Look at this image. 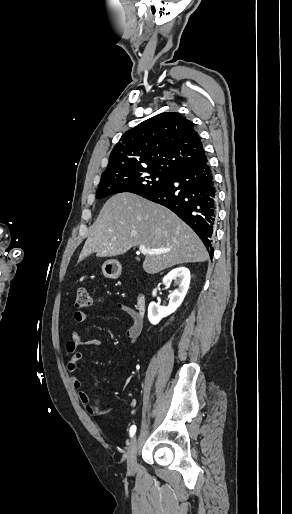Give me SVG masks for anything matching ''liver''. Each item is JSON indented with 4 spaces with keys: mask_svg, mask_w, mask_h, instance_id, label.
<instances>
[{
    "mask_svg": "<svg viewBox=\"0 0 292 514\" xmlns=\"http://www.w3.org/2000/svg\"><path fill=\"white\" fill-rule=\"evenodd\" d=\"M133 246L170 250L166 254H146L143 268L147 274H158L176 264L206 262L209 258L197 234L171 210L124 192L104 204L79 260L90 254L99 258L119 256Z\"/></svg>",
    "mask_w": 292,
    "mask_h": 514,
    "instance_id": "6515ba94",
    "label": "liver"
}]
</instances>
